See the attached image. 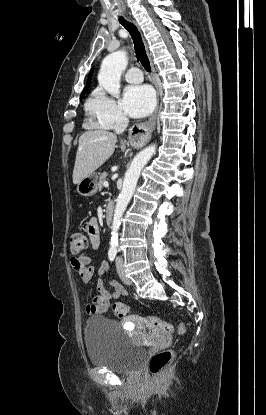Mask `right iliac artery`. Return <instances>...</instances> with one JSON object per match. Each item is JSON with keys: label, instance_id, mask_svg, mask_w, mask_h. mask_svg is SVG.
Returning <instances> with one entry per match:
<instances>
[{"label": "right iliac artery", "instance_id": "82829eb1", "mask_svg": "<svg viewBox=\"0 0 266 415\" xmlns=\"http://www.w3.org/2000/svg\"><path fill=\"white\" fill-rule=\"evenodd\" d=\"M115 257H116V252L115 251H109V253H108L109 260L114 261Z\"/></svg>", "mask_w": 266, "mask_h": 415}]
</instances>
